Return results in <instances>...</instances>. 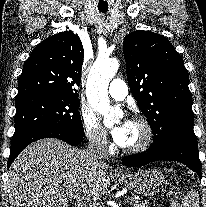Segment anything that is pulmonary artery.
Masks as SVG:
<instances>
[{
    "label": "pulmonary artery",
    "mask_w": 206,
    "mask_h": 207,
    "mask_svg": "<svg viewBox=\"0 0 206 207\" xmlns=\"http://www.w3.org/2000/svg\"><path fill=\"white\" fill-rule=\"evenodd\" d=\"M109 95L115 100H123L128 94V88L121 79H113L108 88Z\"/></svg>",
    "instance_id": "1"
}]
</instances>
